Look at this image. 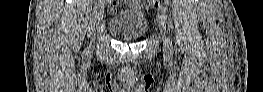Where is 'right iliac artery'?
I'll return each mask as SVG.
<instances>
[{
    "label": "right iliac artery",
    "mask_w": 263,
    "mask_h": 92,
    "mask_svg": "<svg viewBox=\"0 0 263 92\" xmlns=\"http://www.w3.org/2000/svg\"><path fill=\"white\" fill-rule=\"evenodd\" d=\"M97 4L96 7H99V4H102L103 0H96Z\"/></svg>",
    "instance_id": "right-iliac-artery-1"
}]
</instances>
